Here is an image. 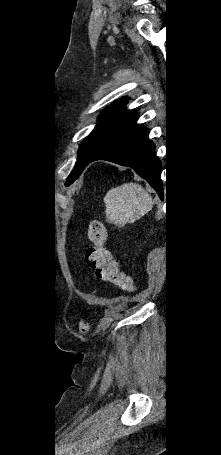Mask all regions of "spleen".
Instances as JSON below:
<instances>
[{
    "label": "spleen",
    "mask_w": 221,
    "mask_h": 455,
    "mask_svg": "<svg viewBox=\"0 0 221 455\" xmlns=\"http://www.w3.org/2000/svg\"><path fill=\"white\" fill-rule=\"evenodd\" d=\"M106 218L118 227L133 223L153 207L151 196L137 183H125L110 189L105 197Z\"/></svg>",
    "instance_id": "1"
}]
</instances>
